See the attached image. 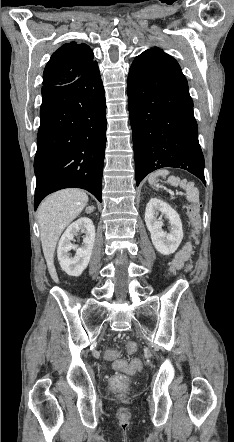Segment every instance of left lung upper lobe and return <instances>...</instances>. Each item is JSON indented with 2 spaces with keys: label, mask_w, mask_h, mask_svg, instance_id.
<instances>
[{
  "label": "left lung upper lobe",
  "mask_w": 234,
  "mask_h": 442,
  "mask_svg": "<svg viewBox=\"0 0 234 442\" xmlns=\"http://www.w3.org/2000/svg\"><path fill=\"white\" fill-rule=\"evenodd\" d=\"M158 51L163 52V51L159 50L158 48L157 49H150L145 52H158Z\"/></svg>",
  "instance_id": "1"
}]
</instances>
